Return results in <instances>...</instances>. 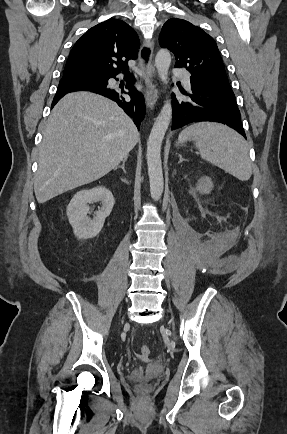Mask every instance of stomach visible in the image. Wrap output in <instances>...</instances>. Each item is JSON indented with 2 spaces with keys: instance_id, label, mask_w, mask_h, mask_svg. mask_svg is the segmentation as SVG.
Masks as SVG:
<instances>
[{
  "instance_id": "stomach-1",
  "label": "stomach",
  "mask_w": 287,
  "mask_h": 434,
  "mask_svg": "<svg viewBox=\"0 0 287 434\" xmlns=\"http://www.w3.org/2000/svg\"><path fill=\"white\" fill-rule=\"evenodd\" d=\"M185 140H178L177 145L183 144Z\"/></svg>"
}]
</instances>
